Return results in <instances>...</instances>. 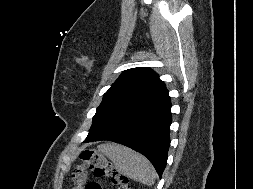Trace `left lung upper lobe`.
I'll return each instance as SVG.
<instances>
[{"label":"left lung upper lobe","mask_w":253,"mask_h":189,"mask_svg":"<svg viewBox=\"0 0 253 189\" xmlns=\"http://www.w3.org/2000/svg\"><path fill=\"white\" fill-rule=\"evenodd\" d=\"M167 94L165 84L150 68L138 67L124 71L104 94L88 136L115 129L136 114L157 104ZM101 121L105 124H101Z\"/></svg>","instance_id":"5c2ea615"}]
</instances>
